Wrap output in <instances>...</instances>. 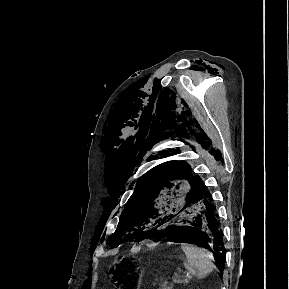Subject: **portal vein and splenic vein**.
Masks as SVG:
<instances>
[{"mask_svg":"<svg viewBox=\"0 0 289 289\" xmlns=\"http://www.w3.org/2000/svg\"><path fill=\"white\" fill-rule=\"evenodd\" d=\"M187 282V278H185V280ZM179 282H182V279L180 276H175L172 278V283H179Z\"/></svg>","mask_w":289,"mask_h":289,"instance_id":"18ae733b","label":"portal vein and splenic vein"}]
</instances>
